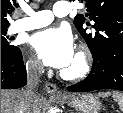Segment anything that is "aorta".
Instances as JSON below:
<instances>
[{
    "label": "aorta",
    "instance_id": "1",
    "mask_svg": "<svg viewBox=\"0 0 123 113\" xmlns=\"http://www.w3.org/2000/svg\"><path fill=\"white\" fill-rule=\"evenodd\" d=\"M50 113H56V109H55V108H52V109L50 110Z\"/></svg>",
    "mask_w": 123,
    "mask_h": 113
}]
</instances>
